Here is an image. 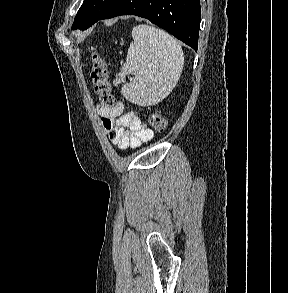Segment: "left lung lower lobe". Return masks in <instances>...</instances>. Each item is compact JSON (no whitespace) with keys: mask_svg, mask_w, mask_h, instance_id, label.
Returning a JSON list of instances; mask_svg holds the SVG:
<instances>
[{"mask_svg":"<svg viewBox=\"0 0 288 293\" xmlns=\"http://www.w3.org/2000/svg\"><path fill=\"white\" fill-rule=\"evenodd\" d=\"M120 15L149 19L197 51L200 0H117L99 20Z\"/></svg>","mask_w":288,"mask_h":293,"instance_id":"left-lung-lower-lobe-1","label":"left lung lower lobe"}]
</instances>
